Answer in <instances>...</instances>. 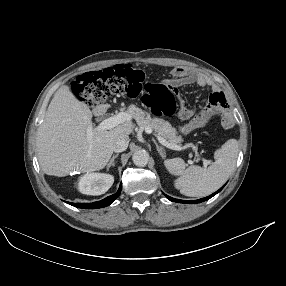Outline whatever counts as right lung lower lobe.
<instances>
[{"label": "right lung lower lobe", "instance_id": "obj_1", "mask_svg": "<svg viewBox=\"0 0 286 286\" xmlns=\"http://www.w3.org/2000/svg\"><path fill=\"white\" fill-rule=\"evenodd\" d=\"M122 185H120L117 193L106 197L105 199L93 203H71L67 202L68 204L77 207V208H85V209H95V208H102L110 205L119 195L121 192Z\"/></svg>", "mask_w": 286, "mask_h": 286}]
</instances>
